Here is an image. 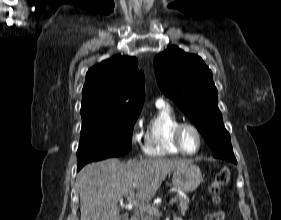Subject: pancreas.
I'll use <instances>...</instances> for the list:
<instances>
[{"instance_id": "cf45deb5", "label": "pancreas", "mask_w": 281, "mask_h": 220, "mask_svg": "<svg viewBox=\"0 0 281 220\" xmlns=\"http://www.w3.org/2000/svg\"><path fill=\"white\" fill-rule=\"evenodd\" d=\"M175 198L178 199L180 212L182 215H184L189 207V199H187L181 195H178V194L176 195ZM159 216H160V214H154V213L151 214L150 213V214L146 215L143 218V220H159Z\"/></svg>"}]
</instances>
